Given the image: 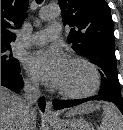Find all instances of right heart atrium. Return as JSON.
<instances>
[{
    "mask_svg": "<svg viewBox=\"0 0 123 130\" xmlns=\"http://www.w3.org/2000/svg\"><path fill=\"white\" fill-rule=\"evenodd\" d=\"M27 85L30 88H36L37 87V83L33 79H30V78L27 79Z\"/></svg>",
    "mask_w": 123,
    "mask_h": 130,
    "instance_id": "right-heart-atrium-1",
    "label": "right heart atrium"
}]
</instances>
